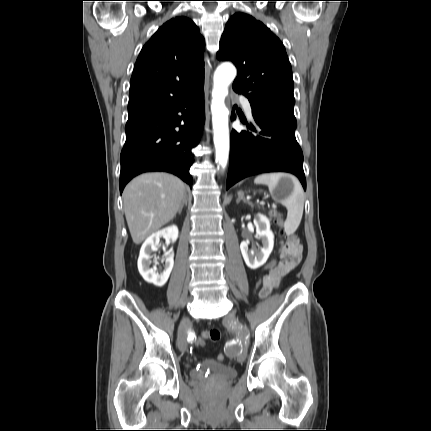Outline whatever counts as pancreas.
I'll return each mask as SVG.
<instances>
[{
  "label": "pancreas",
  "instance_id": "obj_1",
  "mask_svg": "<svg viewBox=\"0 0 431 431\" xmlns=\"http://www.w3.org/2000/svg\"><path fill=\"white\" fill-rule=\"evenodd\" d=\"M270 217H275V214L272 212H269Z\"/></svg>",
  "mask_w": 431,
  "mask_h": 431
}]
</instances>
